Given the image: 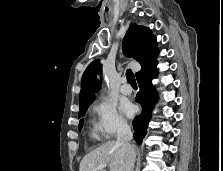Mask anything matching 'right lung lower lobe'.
<instances>
[{
    "instance_id": "98d812e1",
    "label": "right lung lower lobe",
    "mask_w": 223,
    "mask_h": 171,
    "mask_svg": "<svg viewBox=\"0 0 223 171\" xmlns=\"http://www.w3.org/2000/svg\"><path fill=\"white\" fill-rule=\"evenodd\" d=\"M156 64L137 76L140 91L138 92L135 101L142 106V112L133 120V128L135 131L133 137L138 144L142 143V140L147 133L148 123L151 118V111L154 107L155 101L157 100L154 87L151 83L152 79L158 73Z\"/></svg>"
}]
</instances>
